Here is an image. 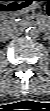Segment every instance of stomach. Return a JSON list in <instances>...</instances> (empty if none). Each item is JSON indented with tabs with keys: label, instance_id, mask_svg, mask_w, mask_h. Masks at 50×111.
Masks as SVG:
<instances>
[{
	"label": "stomach",
	"instance_id": "obj_1",
	"mask_svg": "<svg viewBox=\"0 0 50 111\" xmlns=\"http://www.w3.org/2000/svg\"><path fill=\"white\" fill-rule=\"evenodd\" d=\"M38 0H8L0 3L1 14L7 17L17 16L33 10Z\"/></svg>",
	"mask_w": 50,
	"mask_h": 111
}]
</instances>
